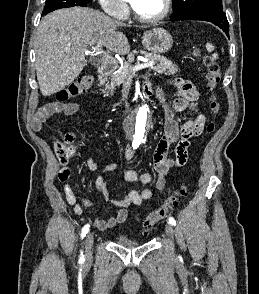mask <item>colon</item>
<instances>
[{
	"label": "colon",
	"instance_id": "colon-1",
	"mask_svg": "<svg viewBox=\"0 0 259 294\" xmlns=\"http://www.w3.org/2000/svg\"><path fill=\"white\" fill-rule=\"evenodd\" d=\"M204 63L206 66V83L207 89L210 94L209 97V107L214 116L219 112L220 106L217 100L215 91L221 81V69L216 60L211 56L204 57ZM93 79L89 74L82 75L78 77L74 82H72L68 87L63 89L57 94L58 101H67L74 97L83 94L92 85ZM215 124L213 122L209 123L207 126V132H213ZM62 161L67 160V153L64 149H59ZM69 171L63 169L59 173L61 180L68 178ZM186 194V188L181 187L173 192H171L164 202L153 210L150 214L146 216L143 221V229L145 232L151 231L156 225L163 221L166 216L172 211L173 207L177 204L178 199Z\"/></svg>",
	"mask_w": 259,
	"mask_h": 294
}]
</instances>
